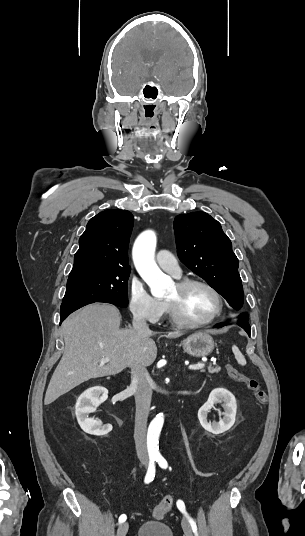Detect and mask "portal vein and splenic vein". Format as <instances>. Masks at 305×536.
Instances as JSON below:
<instances>
[{"label": "portal vein and splenic vein", "mask_w": 305, "mask_h": 536, "mask_svg": "<svg viewBox=\"0 0 305 536\" xmlns=\"http://www.w3.org/2000/svg\"><path fill=\"white\" fill-rule=\"evenodd\" d=\"M107 362H110L109 358H102L100 366H104ZM204 366L205 364H195V366H189V370H203Z\"/></svg>", "instance_id": "1"}]
</instances>
